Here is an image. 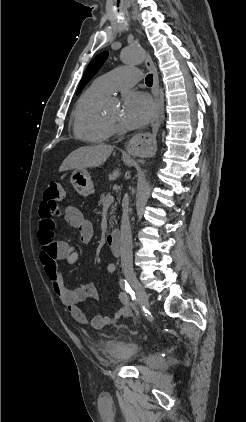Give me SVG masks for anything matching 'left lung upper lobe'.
<instances>
[{"instance_id":"1","label":"left lung upper lobe","mask_w":246,"mask_h":422,"mask_svg":"<svg viewBox=\"0 0 246 422\" xmlns=\"http://www.w3.org/2000/svg\"><path fill=\"white\" fill-rule=\"evenodd\" d=\"M108 57V52H102L97 55L88 65L77 90V94L84 88L90 79L97 73Z\"/></svg>"}]
</instances>
